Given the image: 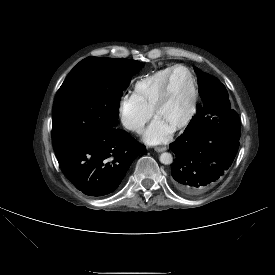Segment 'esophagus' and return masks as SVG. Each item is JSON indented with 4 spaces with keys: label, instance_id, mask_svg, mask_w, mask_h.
Here are the masks:
<instances>
[{
    "label": "esophagus",
    "instance_id": "esophagus-1",
    "mask_svg": "<svg viewBox=\"0 0 275 275\" xmlns=\"http://www.w3.org/2000/svg\"><path fill=\"white\" fill-rule=\"evenodd\" d=\"M167 150V147L166 146H163V147H156L155 148V151L156 152H163V151H166Z\"/></svg>",
    "mask_w": 275,
    "mask_h": 275
}]
</instances>
